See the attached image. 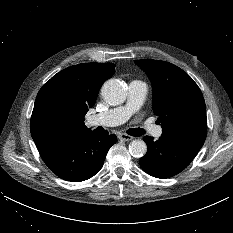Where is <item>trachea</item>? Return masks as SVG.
I'll return each instance as SVG.
<instances>
[{"instance_id":"3493384b","label":"trachea","mask_w":233,"mask_h":233,"mask_svg":"<svg viewBox=\"0 0 233 233\" xmlns=\"http://www.w3.org/2000/svg\"><path fill=\"white\" fill-rule=\"evenodd\" d=\"M127 133L131 136L139 137L145 134V130L141 128H131L127 130Z\"/></svg>"}]
</instances>
